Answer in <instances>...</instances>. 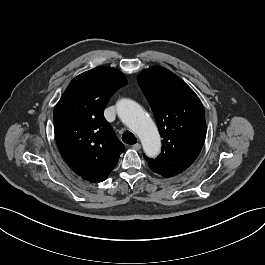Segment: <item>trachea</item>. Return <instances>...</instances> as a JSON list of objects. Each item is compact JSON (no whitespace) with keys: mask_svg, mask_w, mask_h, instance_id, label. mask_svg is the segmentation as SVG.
<instances>
[{"mask_svg":"<svg viewBox=\"0 0 265 265\" xmlns=\"http://www.w3.org/2000/svg\"><path fill=\"white\" fill-rule=\"evenodd\" d=\"M122 140L126 144L133 145L137 142V138L130 131H125L122 135Z\"/></svg>","mask_w":265,"mask_h":265,"instance_id":"3493384b","label":"trachea"}]
</instances>
